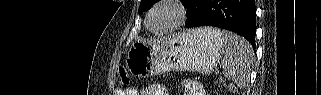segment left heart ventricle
I'll return each mask as SVG.
<instances>
[{
  "mask_svg": "<svg viewBox=\"0 0 321 95\" xmlns=\"http://www.w3.org/2000/svg\"><path fill=\"white\" fill-rule=\"evenodd\" d=\"M174 18V12L170 7H163L155 12L152 20H151V27L156 30H161L168 25H170Z\"/></svg>",
  "mask_w": 321,
  "mask_h": 95,
  "instance_id": "1",
  "label": "left heart ventricle"
}]
</instances>
